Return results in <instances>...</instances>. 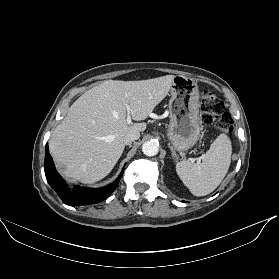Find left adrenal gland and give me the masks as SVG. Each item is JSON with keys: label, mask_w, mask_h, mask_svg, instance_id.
<instances>
[{"label": "left adrenal gland", "mask_w": 279, "mask_h": 279, "mask_svg": "<svg viewBox=\"0 0 279 279\" xmlns=\"http://www.w3.org/2000/svg\"><path fill=\"white\" fill-rule=\"evenodd\" d=\"M171 152H172L171 154H172L174 160H177L178 156H177L176 152L172 148H171Z\"/></svg>", "instance_id": "1"}]
</instances>
